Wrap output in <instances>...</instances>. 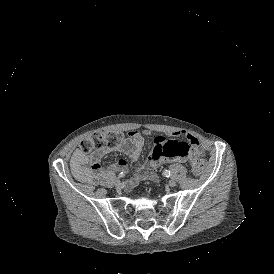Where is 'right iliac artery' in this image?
I'll return each mask as SVG.
<instances>
[{
    "mask_svg": "<svg viewBox=\"0 0 274 274\" xmlns=\"http://www.w3.org/2000/svg\"><path fill=\"white\" fill-rule=\"evenodd\" d=\"M125 176V173L124 172H120L119 174H118V177L119 178H122V177H124Z\"/></svg>",
    "mask_w": 274,
    "mask_h": 274,
    "instance_id": "1",
    "label": "right iliac artery"
}]
</instances>
